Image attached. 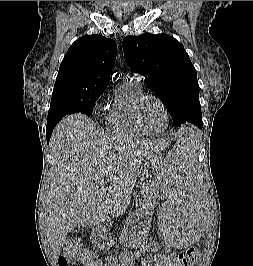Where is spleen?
I'll return each mask as SVG.
<instances>
[{
  "mask_svg": "<svg viewBox=\"0 0 253 266\" xmlns=\"http://www.w3.org/2000/svg\"><path fill=\"white\" fill-rule=\"evenodd\" d=\"M176 144H201V135H176ZM189 146V145H188ZM202 147H173L162 161L164 184L158 193L167 199L160 207L158 243L162 248H195L201 242L199 229H204L202 216L210 215L209 207H201L203 190L196 189L197 160Z\"/></svg>",
  "mask_w": 253,
  "mask_h": 266,
  "instance_id": "spleen-1",
  "label": "spleen"
}]
</instances>
